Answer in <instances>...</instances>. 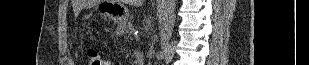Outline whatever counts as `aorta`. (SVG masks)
Returning <instances> with one entry per match:
<instances>
[{
  "label": "aorta",
  "instance_id": "aorta-1",
  "mask_svg": "<svg viewBox=\"0 0 309 65\" xmlns=\"http://www.w3.org/2000/svg\"><path fill=\"white\" fill-rule=\"evenodd\" d=\"M175 7L176 0H161L159 7L161 51L157 55V62L162 59L164 49L172 37L175 24Z\"/></svg>",
  "mask_w": 309,
  "mask_h": 65
}]
</instances>
